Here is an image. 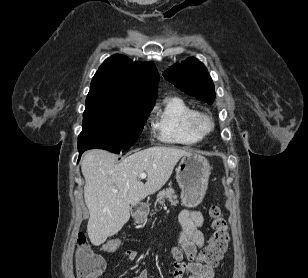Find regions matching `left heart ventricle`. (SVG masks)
Returning a JSON list of instances; mask_svg holds the SVG:
<instances>
[{
	"mask_svg": "<svg viewBox=\"0 0 308 278\" xmlns=\"http://www.w3.org/2000/svg\"><path fill=\"white\" fill-rule=\"evenodd\" d=\"M201 126H202V128H207V127H208V124H207L206 122H202V123H201Z\"/></svg>",
	"mask_w": 308,
	"mask_h": 278,
	"instance_id": "obj_1",
	"label": "left heart ventricle"
}]
</instances>
